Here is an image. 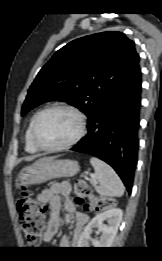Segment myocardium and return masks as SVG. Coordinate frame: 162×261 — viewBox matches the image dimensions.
<instances>
[{
  "label": "myocardium",
  "mask_w": 162,
  "mask_h": 261,
  "mask_svg": "<svg viewBox=\"0 0 162 261\" xmlns=\"http://www.w3.org/2000/svg\"><path fill=\"white\" fill-rule=\"evenodd\" d=\"M53 110H66L72 113L78 121V130L76 134L66 143H63L61 145L57 146H45L43 145L39 139H38V126L40 123L41 118L48 112L53 111ZM86 132V117L85 115L76 107L65 104V103H56L53 105H50L44 109H42L40 112L35 117L33 127H32V141L35 147L39 150L42 151H47V152H57V151H62L69 149L76 145L85 135Z\"/></svg>",
  "instance_id": "f54148a6"
}]
</instances>
